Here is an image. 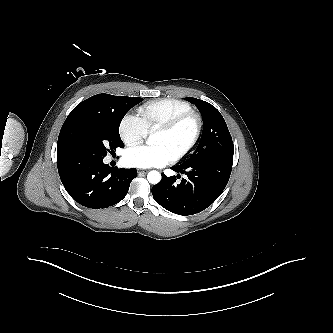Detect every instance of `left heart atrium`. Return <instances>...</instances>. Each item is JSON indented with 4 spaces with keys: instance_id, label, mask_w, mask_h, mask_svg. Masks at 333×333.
<instances>
[{
    "instance_id": "39dd6f15",
    "label": "left heart atrium",
    "mask_w": 333,
    "mask_h": 333,
    "mask_svg": "<svg viewBox=\"0 0 333 333\" xmlns=\"http://www.w3.org/2000/svg\"><path fill=\"white\" fill-rule=\"evenodd\" d=\"M171 160V154L163 145H139L129 148L124 153V161L131 167H161Z\"/></svg>"
}]
</instances>
